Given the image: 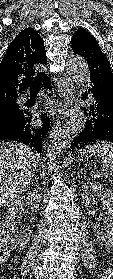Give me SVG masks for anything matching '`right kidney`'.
<instances>
[{"instance_id":"obj_1","label":"right kidney","mask_w":113,"mask_h":279,"mask_svg":"<svg viewBox=\"0 0 113 279\" xmlns=\"http://www.w3.org/2000/svg\"><path fill=\"white\" fill-rule=\"evenodd\" d=\"M41 200V195L37 190H32L28 192L25 196L19 197L15 202L9 205L7 214H6V222H5V229L9 232L11 236V243L15 248H24L28 241L30 240L31 230L29 226L24 227L19 232L18 228V221L23 207L24 202L30 205L31 209L35 211L39 208Z\"/></svg>"}]
</instances>
